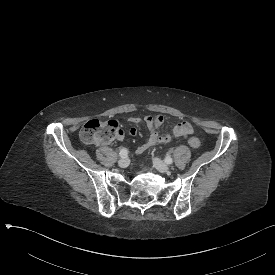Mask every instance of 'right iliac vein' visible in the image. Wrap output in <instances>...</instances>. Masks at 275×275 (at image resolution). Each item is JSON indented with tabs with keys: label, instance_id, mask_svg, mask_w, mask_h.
<instances>
[{
	"label": "right iliac vein",
	"instance_id": "obj_1",
	"mask_svg": "<svg viewBox=\"0 0 275 275\" xmlns=\"http://www.w3.org/2000/svg\"><path fill=\"white\" fill-rule=\"evenodd\" d=\"M129 163H130V160H129L127 157L121 158V159L118 161V165H119L121 168H126V167H128Z\"/></svg>",
	"mask_w": 275,
	"mask_h": 275
}]
</instances>
